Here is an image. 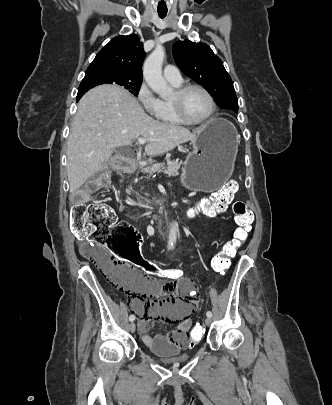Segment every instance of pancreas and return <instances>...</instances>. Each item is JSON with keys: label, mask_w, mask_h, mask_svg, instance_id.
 Here are the masks:
<instances>
[{"label": "pancreas", "mask_w": 332, "mask_h": 405, "mask_svg": "<svg viewBox=\"0 0 332 405\" xmlns=\"http://www.w3.org/2000/svg\"><path fill=\"white\" fill-rule=\"evenodd\" d=\"M180 163L178 161H167V166L164 163H156L149 167L150 174L163 172L168 177H175L179 174Z\"/></svg>", "instance_id": "1"}]
</instances>
